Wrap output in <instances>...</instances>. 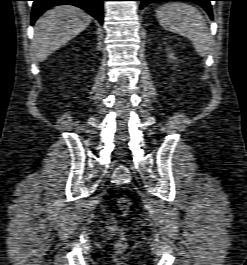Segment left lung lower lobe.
I'll return each mask as SVG.
<instances>
[{"label": "left lung lower lobe", "mask_w": 247, "mask_h": 265, "mask_svg": "<svg viewBox=\"0 0 247 265\" xmlns=\"http://www.w3.org/2000/svg\"><path fill=\"white\" fill-rule=\"evenodd\" d=\"M141 1L140 8H144L149 3H155V2H163V1H188L193 2L201 6L210 16V18H213L212 9L210 5V1L212 0H138Z\"/></svg>", "instance_id": "0a47b994"}]
</instances>
